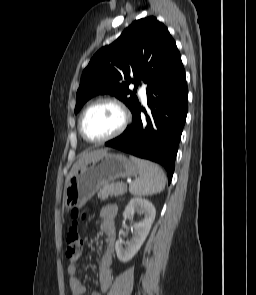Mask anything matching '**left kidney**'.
Instances as JSON below:
<instances>
[{"instance_id": "left-kidney-1", "label": "left kidney", "mask_w": 256, "mask_h": 295, "mask_svg": "<svg viewBox=\"0 0 256 295\" xmlns=\"http://www.w3.org/2000/svg\"><path fill=\"white\" fill-rule=\"evenodd\" d=\"M135 212L142 215L143 218L139 222L134 223V234L131 239L126 242L119 239L115 244L117 257L123 263L130 261L139 251L149 234L156 215L153 204L146 199L138 197L132 198L129 201L123 212V217L132 220Z\"/></svg>"}]
</instances>
